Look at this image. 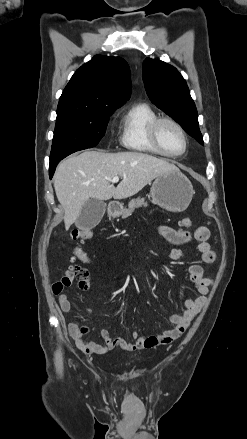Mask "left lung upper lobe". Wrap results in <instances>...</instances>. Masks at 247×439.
Returning a JSON list of instances; mask_svg holds the SVG:
<instances>
[{"label":"left lung upper lobe","mask_w":247,"mask_h":439,"mask_svg":"<svg viewBox=\"0 0 247 439\" xmlns=\"http://www.w3.org/2000/svg\"><path fill=\"white\" fill-rule=\"evenodd\" d=\"M142 73L151 101L203 144L196 106L186 81L178 70L163 61L147 58L143 62Z\"/></svg>","instance_id":"left-lung-upper-lobe-1"}]
</instances>
